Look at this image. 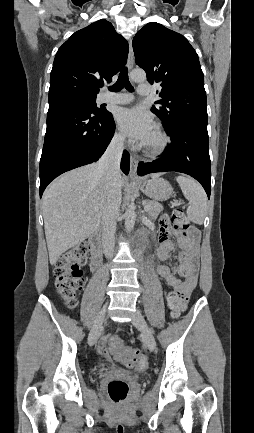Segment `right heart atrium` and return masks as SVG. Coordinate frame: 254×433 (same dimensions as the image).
Masks as SVG:
<instances>
[{"label":"right heart atrium","mask_w":254,"mask_h":433,"mask_svg":"<svg viewBox=\"0 0 254 433\" xmlns=\"http://www.w3.org/2000/svg\"><path fill=\"white\" fill-rule=\"evenodd\" d=\"M113 141L115 143H118V144H120V143H122L124 141V136H123V134L119 130H116L114 132Z\"/></svg>","instance_id":"d8ad5b80"}]
</instances>
